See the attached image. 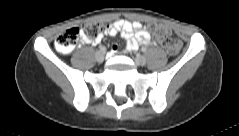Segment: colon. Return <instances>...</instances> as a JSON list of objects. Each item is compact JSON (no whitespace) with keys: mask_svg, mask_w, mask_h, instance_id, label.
<instances>
[{"mask_svg":"<svg viewBox=\"0 0 239 136\" xmlns=\"http://www.w3.org/2000/svg\"><path fill=\"white\" fill-rule=\"evenodd\" d=\"M106 28L107 26L101 22H87L82 28L73 27L56 38L55 47L61 53H68L76 47L82 34L90 39H95L105 32ZM151 29L168 54H178L181 49V43L179 40L169 37V31L164 25L153 24L151 25Z\"/></svg>","mask_w":239,"mask_h":136,"instance_id":"colon-1","label":"colon"}]
</instances>
